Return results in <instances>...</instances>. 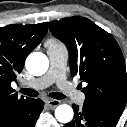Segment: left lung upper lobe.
<instances>
[{
	"label": "left lung upper lobe",
	"mask_w": 127,
	"mask_h": 127,
	"mask_svg": "<svg viewBox=\"0 0 127 127\" xmlns=\"http://www.w3.org/2000/svg\"><path fill=\"white\" fill-rule=\"evenodd\" d=\"M52 34L67 46L71 74H80L85 104L121 114L127 99L125 62L115 39L84 17L49 22Z\"/></svg>",
	"instance_id": "obj_1"
}]
</instances>
